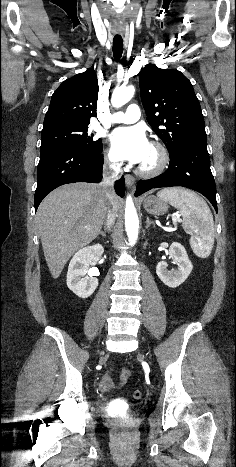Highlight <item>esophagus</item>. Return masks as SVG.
<instances>
[{
    "label": "esophagus",
    "mask_w": 236,
    "mask_h": 467,
    "mask_svg": "<svg viewBox=\"0 0 236 467\" xmlns=\"http://www.w3.org/2000/svg\"><path fill=\"white\" fill-rule=\"evenodd\" d=\"M125 183L128 189H133L135 184V178L129 174L125 175Z\"/></svg>",
    "instance_id": "obj_1"
}]
</instances>
